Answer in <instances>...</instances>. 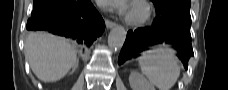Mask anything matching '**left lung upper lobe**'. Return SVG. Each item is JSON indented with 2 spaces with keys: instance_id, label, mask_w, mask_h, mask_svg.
Listing matches in <instances>:
<instances>
[{
  "instance_id": "left-lung-upper-lobe-1",
  "label": "left lung upper lobe",
  "mask_w": 228,
  "mask_h": 90,
  "mask_svg": "<svg viewBox=\"0 0 228 90\" xmlns=\"http://www.w3.org/2000/svg\"><path fill=\"white\" fill-rule=\"evenodd\" d=\"M157 12L175 14L190 12L191 0H152Z\"/></svg>"
}]
</instances>
